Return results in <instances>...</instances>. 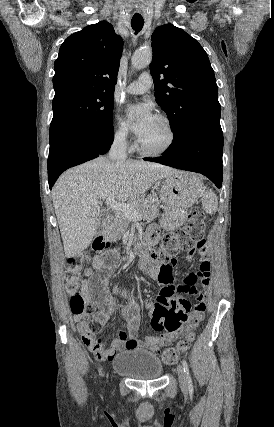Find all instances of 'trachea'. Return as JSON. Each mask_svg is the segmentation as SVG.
Listing matches in <instances>:
<instances>
[{"label":"trachea","mask_w":274,"mask_h":427,"mask_svg":"<svg viewBox=\"0 0 274 427\" xmlns=\"http://www.w3.org/2000/svg\"><path fill=\"white\" fill-rule=\"evenodd\" d=\"M144 20L142 17H134L131 20V26L135 30V34L142 30Z\"/></svg>","instance_id":"3493384b"}]
</instances>
